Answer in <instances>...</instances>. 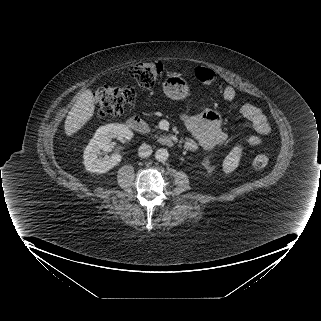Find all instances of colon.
Listing matches in <instances>:
<instances>
[{
	"mask_svg": "<svg viewBox=\"0 0 321 321\" xmlns=\"http://www.w3.org/2000/svg\"><path fill=\"white\" fill-rule=\"evenodd\" d=\"M164 69L160 62H144L134 65L130 69V76L138 88H151L163 75ZM197 79L205 85H214L217 82L216 73L207 67L196 69ZM136 95L133 86L111 87L102 86L93 95L98 114L103 117H119L123 113L124 105L131 102ZM269 157L266 154L256 156L252 162L255 169H263L268 165Z\"/></svg>",
	"mask_w": 321,
	"mask_h": 321,
	"instance_id": "1",
	"label": "colon"
}]
</instances>
